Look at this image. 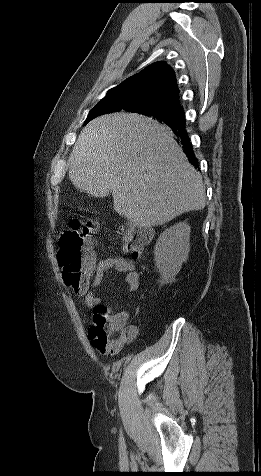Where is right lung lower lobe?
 Listing matches in <instances>:
<instances>
[{
	"label": "right lung lower lobe",
	"mask_w": 261,
	"mask_h": 476,
	"mask_svg": "<svg viewBox=\"0 0 261 476\" xmlns=\"http://www.w3.org/2000/svg\"><path fill=\"white\" fill-rule=\"evenodd\" d=\"M173 132L176 134L178 139L180 140L182 147L185 151V153L188 156L189 161L191 164H193L195 167L198 165V161L194 157V153L192 151V146L190 143V139L187 135V132L185 130V118L183 117L182 120H180L177 123L169 124L168 125Z\"/></svg>",
	"instance_id": "1"
}]
</instances>
